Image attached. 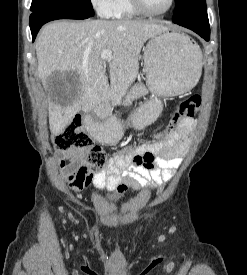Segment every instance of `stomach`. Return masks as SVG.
<instances>
[{
  "label": "stomach",
  "mask_w": 247,
  "mask_h": 275,
  "mask_svg": "<svg viewBox=\"0 0 247 275\" xmlns=\"http://www.w3.org/2000/svg\"><path fill=\"white\" fill-rule=\"evenodd\" d=\"M146 83L154 95L131 116L129 124L143 129L152 124L162 111L160 98L181 95L198 82L202 55L197 44L184 34L166 30L151 37L144 50ZM90 130L104 143L117 142L123 135L121 124L94 123Z\"/></svg>",
  "instance_id": "obj_1"
}]
</instances>
